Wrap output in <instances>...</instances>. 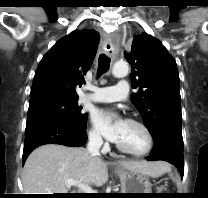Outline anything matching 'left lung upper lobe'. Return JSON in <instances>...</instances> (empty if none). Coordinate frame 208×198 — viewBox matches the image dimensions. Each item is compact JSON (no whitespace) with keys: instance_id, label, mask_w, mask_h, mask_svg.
<instances>
[{"instance_id":"5c2ea615","label":"left lung upper lobe","mask_w":208,"mask_h":198,"mask_svg":"<svg viewBox=\"0 0 208 198\" xmlns=\"http://www.w3.org/2000/svg\"><path fill=\"white\" fill-rule=\"evenodd\" d=\"M131 64V100L140 112L154 142L170 136L183 143L180 80L176 61L162 43L143 32L125 53Z\"/></svg>"}]
</instances>
